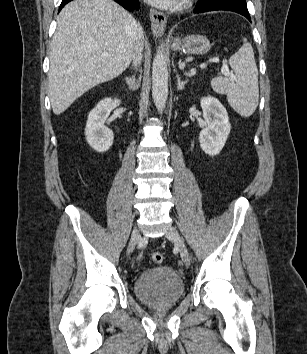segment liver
Listing matches in <instances>:
<instances>
[{
	"instance_id": "1",
	"label": "liver",
	"mask_w": 307,
	"mask_h": 354,
	"mask_svg": "<svg viewBox=\"0 0 307 354\" xmlns=\"http://www.w3.org/2000/svg\"><path fill=\"white\" fill-rule=\"evenodd\" d=\"M141 32L135 18L112 0L68 3L59 13L50 45L49 98L54 114L123 73Z\"/></svg>"
}]
</instances>
